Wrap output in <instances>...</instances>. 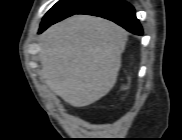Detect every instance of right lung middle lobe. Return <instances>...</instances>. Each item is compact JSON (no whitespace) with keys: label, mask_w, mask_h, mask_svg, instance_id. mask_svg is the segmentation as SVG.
<instances>
[{"label":"right lung middle lobe","mask_w":182,"mask_h":140,"mask_svg":"<svg viewBox=\"0 0 182 140\" xmlns=\"http://www.w3.org/2000/svg\"><path fill=\"white\" fill-rule=\"evenodd\" d=\"M93 1L94 0H60L58 1L44 16L43 21L40 25V28L50 26L56 22H59L75 14L76 12H78L79 10H81L82 8H84L85 6H87Z\"/></svg>","instance_id":"dd1d6c3e"}]
</instances>
